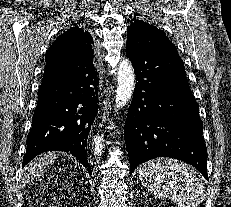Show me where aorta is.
Wrapping results in <instances>:
<instances>
[{
  "instance_id": "obj_1",
  "label": "aorta",
  "mask_w": 231,
  "mask_h": 207,
  "mask_svg": "<svg viewBox=\"0 0 231 207\" xmlns=\"http://www.w3.org/2000/svg\"><path fill=\"white\" fill-rule=\"evenodd\" d=\"M135 87V74L133 66L128 59L120 62L117 72V89L115 95V110L124 107L130 100ZM94 154L102 155L103 135L94 140Z\"/></svg>"
}]
</instances>
